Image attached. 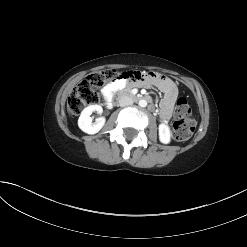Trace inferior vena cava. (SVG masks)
<instances>
[{
    "instance_id": "1",
    "label": "inferior vena cava",
    "mask_w": 247,
    "mask_h": 247,
    "mask_svg": "<svg viewBox=\"0 0 247 247\" xmlns=\"http://www.w3.org/2000/svg\"><path fill=\"white\" fill-rule=\"evenodd\" d=\"M131 104H133V99L129 95L123 94L119 97V105L121 107H125Z\"/></svg>"
}]
</instances>
